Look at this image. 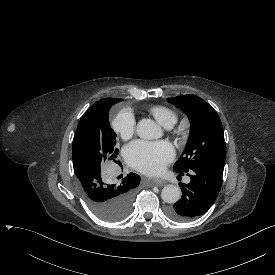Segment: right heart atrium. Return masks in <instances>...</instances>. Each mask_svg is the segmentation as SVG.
I'll use <instances>...</instances> for the list:
<instances>
[{"mask_svg":"<svg viewBox=\"0 0 275 275\" xmlns=\"http://www.w3.org/2000/svg\"><path fill=\"white\" fill-rule=\"evenodd\" d=\"M114 133L122 140H129L135 132V121L130 113H121L112 121Z\"/></svg>","mask_w":275,"mask_h":275,"instance_id":"right-heart-atrium-1","label":"right heart atrium"}]
</instances>
